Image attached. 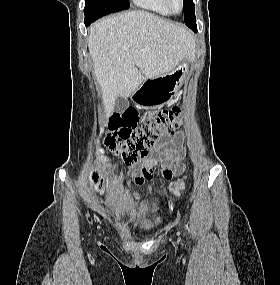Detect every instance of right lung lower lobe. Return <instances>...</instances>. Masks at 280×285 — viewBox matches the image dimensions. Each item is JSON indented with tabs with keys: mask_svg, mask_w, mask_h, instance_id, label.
Segmentation results:
<instances>
[{
	"mask_svg": "<svg viewBox=\"0 0 280 285\" xmlns=\"http://www.w3.org/2000/svg\"><path fill=\"white\" fill-rule=\"evenodd\" d=\"M84 23H85L86 26H88V25L91 24V23H89V22H87V21H85V20H84Z\"/></svg>",
	"mask_w": 280,
	"mask_h": 285,
	"instance_id": "right-lung-lower-lobe-1",
	"label": "right lung lower lobe"
}]
</instances>
